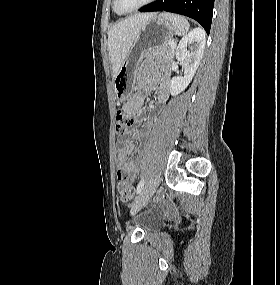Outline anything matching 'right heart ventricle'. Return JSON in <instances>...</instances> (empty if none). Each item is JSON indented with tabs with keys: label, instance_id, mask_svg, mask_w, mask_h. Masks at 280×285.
Returning <instances> with one entry per match:
<instances>
[{
	"label": "right heart ventricle",
	"instance_id": "e07e8e85",
	"mask_svg": "<svg viewBox=\"0 0 280 285\" xmlns=\"http://www.w3.org/2000/svg\"><path fill=\"white\" fill-rule=\"evenodd\" d=\"M113 10L115 11V13L120 14L116 9L115 6L113 5Z\"/></svg>",
	"mask_w": 280,
	"mask_h": 285
}]
</instances>
